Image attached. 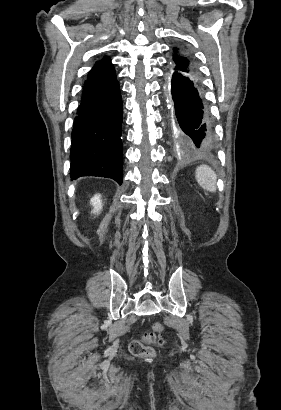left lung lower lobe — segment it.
Listing matches in <instances>:
<instances>
[{
  "instance_id": "left-lung-lower-lobe-1",
  "label": "left lung lower lobe",
  "mask_w": 281,
  "mask_h": 410,
  "mask_svg": "<svg viewBox=\"0 0 281 410\" xmlns=\"http://www.w3.org/2000/svg\"><path fill=\"white\" fill-rule=\"evenodd\" d=\"M168 82L176 139L194 151H212L215 148L213 125L202 97L199 78L170 71Z\"/></svg>"
}]
</instances>
